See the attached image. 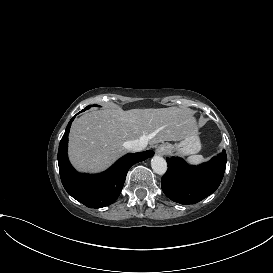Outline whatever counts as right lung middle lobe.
<instances>
[{"label":"right lung middle lobe","mask_w":273,"mask_h":273,"mask_svg":"<svg viewBox=\"0 0 273 273\" xmlns=\"http://www.w3.org/2000/svg\"><path fill=\"white\" fill-rule=\"evenodd\" d=\"M90 107L88 106V107H86L85 109H89Z\"/></svg>","instance_id":"obj_1"}]
</instances>
